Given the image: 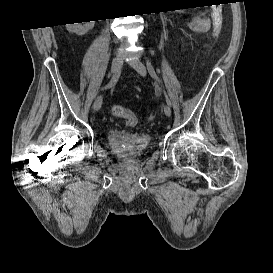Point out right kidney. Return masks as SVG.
Wrapping results in <instances>:
<instances>
[{
	"mask_svg": "<svg viewBox=\"0 0 273 273\" xmlns=\"http://www.w3.org/2000/svg\"><path fill=\"white\" fill-rule=\"evenodd\" d=\"M85 25H81L80 23H75V25L72 28H69L71 31H73L74 33L80 34V35H84L85 33H87L88 30L92 29L94 27V23L95 21H90V22H83Z\"/></svg>",
	"mask_w": 273,
	"mask_h": 273,
	"instance_id": "obj_1",
	"label": "right kidney"
}]
</instances>
